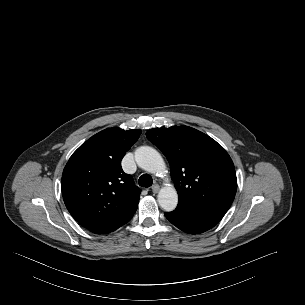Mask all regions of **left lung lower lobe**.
<instances>
[{
    "label": "left lung lower lobe",
    "instance_id": "obj_1",
    "mask_svg": "<svg viewBox=\"0 0 305 305\" xmlns=\"http://www.w3.org/2000/svg\"><path fill=\"white\" fill-rule=\"evenodd\" d=\"M227 208L187 209L177 207L166 212V218L182 231L198 234L214 227L225 215Z\"/></svg>",
    "mask_w": 305,
    "mask_h": 305
}]
</instances>
